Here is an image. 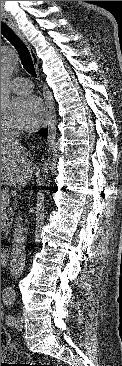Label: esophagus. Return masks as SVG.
<instances>
[{
  "label": "esophagus",
  "mask_w": 122,
  "mask_h": 366,
  "mask_svg": "<svg viewBox=\"0 0 122 366\" xmlns=\"http://www.w3.org/2000/svg\"><path fill=\"white\" fill-rule=\"evenodd\" d=\"M1 20L6 23L22 40L25 41L24 36L21 34L19 29L15 26V24L12 22L10 18L5 16L4 14H1ZM29 51L31 54V57L33 59V62L36 66H38V58L33 50L32 47L29 46ZM44 100H45V119L43 122V128H47L53 121V106L51 104V101L49 99V96L47 95L46 90L43 92Z\"/></svg>",
  "instance_id": "1"
}]
</instances>
